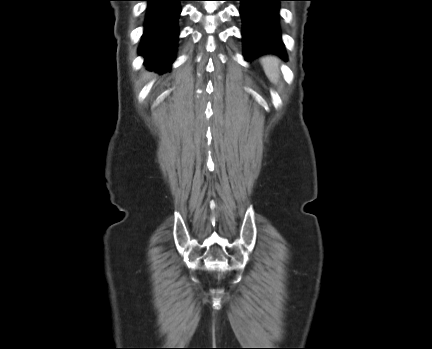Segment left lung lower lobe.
I'll use <instances>...</instances> for the list:
<instances>
[{"instance_id": "0a47b994", "label": "left lung lower lobe", "mask_w": 432, "mask_h": 349, "mask_svg": "<svg viewBox=\"0 0 432 349\" xmlns=\"http://www.w3.org/2000/svg\"><path fill=\"white\" fill-rule=\"evenodd\" d=\"M243 18L244 56L274 53L287 59L278 28V3L282 0H239Z\"/></svg>"}]
</instances>
